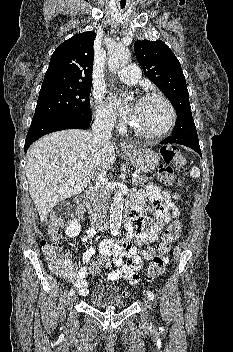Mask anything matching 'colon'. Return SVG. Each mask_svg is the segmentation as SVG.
<instances>
[{"mask_svg": "<svg viewBox=\"0 0 233 352\" xmlns=\"http://www.w3.org/2000/svg\"><path fill=\"white\" fill-rule=\"evenodd\" d=\"M160 155L163 164L160 165L158 170L159 179L167 185H172L174 182V173L172 166L180 168L185 165L186 160L181 155L179 149L173 145H164L160 149ZM82 204L78 205L77 215L82 211ZM63 220L53 215L47 222V231L49 239H44L41 242V249L49 261L50 270L58 275L64 276L68 274L72 267L66 259L61 257V246L55 241L54 237ZM182 222L175 220L170 223L164 230L160 243L157 246L158 254L151 260L147 271V280L153 281L159 277L165 266V257L169 253L171 244L177 241L181 235ZM111 265L110 257L106 254H99L89 266L91 275L99 274L103 269L109 268Z\"/></svg>", "mask_w": 233, "mask_h": 352, "instance_id": "1", "label": "colon"}]
</instances>
